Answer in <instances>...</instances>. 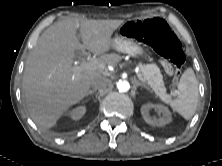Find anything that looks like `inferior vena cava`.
I'll return each mask as SVG.
<instances>
[{
	"label": "inferior vena cava",
	"mask_w": 222,
	"mask_h": 166,
	"mask_svg": "<svg viewBox=\"0 0 222 166\" xmlns=\"http://www.w3.org/2000/svg\"><path fill=\"white\" fill-rule=\"evenodd\" d=\"M110 80L106 77H99L92 82V87L94 90L105 89L109 86Z\"/></svg>",
	"instance_id": "602c4592"
}]
</instances>
